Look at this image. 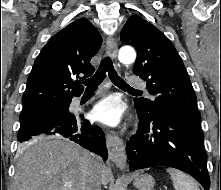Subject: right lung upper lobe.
Listing matches in <instances>:
<instances>
[{"label":"right lung upper lobe","instance_id":"1","mask_svg":"<svg viewBox=\"0 0 221 190\" xmlns=\"http://www.w3.org/2000/svg\"><path fill=\"white\" fill-rule=\"evenodd\" d=\"M102 37L86 18H80L56 33L44 46L27 80L23 108L71 100L83 92L80 80L92 75L90 59ZM84 74V77H79ZM75 80V81H74Z\"/></svg>","mask_w":221,"mask_h":190}]
</instances>
